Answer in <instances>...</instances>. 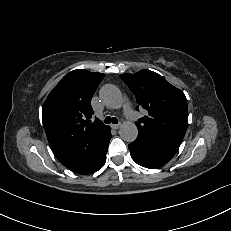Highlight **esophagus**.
<instances>
[{"label":"esophagus","mask_w":231,"mask_h":231,"mask_svg":"<svg viewBox=\"0 0 231 231\" xmlns=\"http://www.w3.org/2000/svg\"><path fill=\"white\" fill-rule=\"evenodd\" d=\"M120 124H112L111 125V127L113 128V129H119L120 128Z\"/></svg>","instance_id":"1"}]
</instances>
